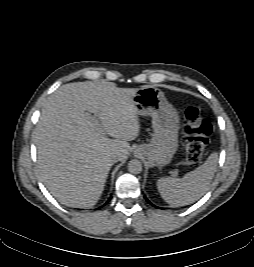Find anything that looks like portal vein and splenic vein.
<instances>
[{"mask_svg": "<svg viewBox=\"0 0 254 267\" xmlns=\"http://www.w3.org/2000/svg\"><path fill=\"white\" fill-rule=\"evenodd\" d=\"M93 120H94L95 124H96L98 127H100V123H99V121H98L97 119H95V118H93Z\"/></svg>", "mask_w": 254, "mask_h": 267, "instance_id": "portal-vein-and-splenic-vein-1", "label": "portal vein and splenic vein"}]
</instances>
